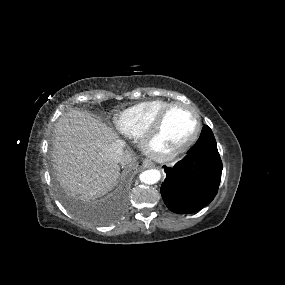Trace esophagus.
Here are the masks:
<instances>
[{
  "label": "esophagus",
  "mask_w": 285,
  "mask_h": 285,
  "mask_svg": "<svg viewBox=\"0 0 285 285\" xmlns=\"http://www.w3.org/2000/svg\"><path fill=\"white\" fill-rule=\"evenodd\" d=\"M142 165L145 168H152L154 166V163L151 160H149V159H144L143 162H142Z\"/></svg>",
  "instance_id": "esophagus-1"
}]
</instances>
